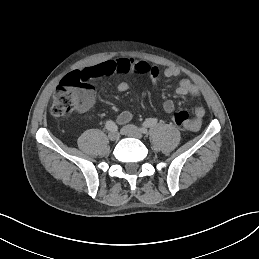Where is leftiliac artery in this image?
Returning <instances> with one entry per match:
<instances>
[{
	"label": "left iliac artery",
	"mask_w": 259,
	"mask_h": 259,
	"mask_svg": "<svg viewBox=\"0 0 259 259\" xmlns=\"http://www.w3.org/2000/svg\"><path fill=\"white\" fill-rule=\"evenodd\" d=\"M158 120L156 118H149L147 119L144 123H143V126L141 128V131L143 133H146L147 132V127H153L157 124Z\"/></svg>",
	"instance_id": "44dca946"
}]
</instances>
